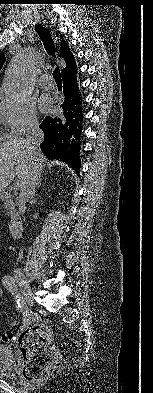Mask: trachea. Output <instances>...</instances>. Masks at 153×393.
<instances>
[{
  "mask_svg": "<svg viewBox=\"0 0 153 393\" xmlns=\"http://www.w3.org/2000/svg\"><path fill=\"white\" fill-rule=\"evenodd\" d=\"M35 30L38 33L40 39L42 40L46 52L49 55H54L56 48H55V44H54L53 38H52L49 30H47L45 27H43L40 24L35 25ZM53 77H54L57 84L58 83L62 84L61 72H60L59 67H56L54 69Z\"/></svg>",
  "mask_w": 153,
  "mask_h": 393,
  "instance_id": "trachea-1",
  "label": "trachea"
}]
</instances>
